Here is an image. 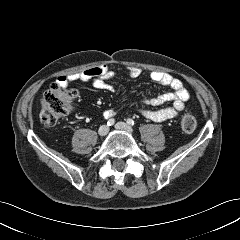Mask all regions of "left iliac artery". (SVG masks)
I'll return each instance as SVG.
<instances>
[{"label": "left iliac artery", "mask_w": 240, "mask_h": 240, "mask_svg": "<svg viewBox=\"0 0 240 240\" xmlns=\"http://www.w3.org/2000/svg\"><path fill=\"white\" fill-rule=\"evenodd\" d=\"M127 123L131 126H134L135 125V122L132 120V119H127Z\"/></svg>", "instance_id": "44dca946"}]
</instances>
